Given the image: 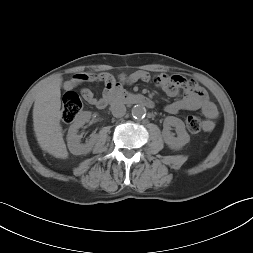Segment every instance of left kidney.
Masks as SVG:
<instances>
[{"mask_svg":"<svg viewBox=\"0 0 253 253\" xmlns=\"http://www.w3.org/2000/svg\"><path fill=\"white\" fill-rule=\"evenodd\" d=\"M171 126L175 127L177 137H174L170 132ZM162 135L164 142L171 149H180L190 141V136L185 129L184 122L174 116H167L164 119Z\"/></svg>","mask_w":253,"mask_h":253,"instance_id":"5707ae66","label":"left kidney"}]
</instances>
